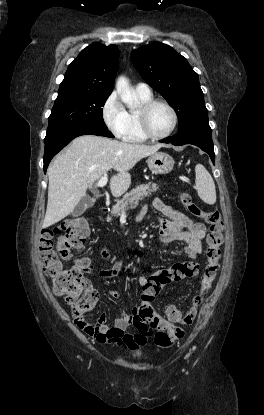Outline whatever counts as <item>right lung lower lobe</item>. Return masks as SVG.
<instances>
[{
	"label": "right lung lower lobe",
	"instance_id": "98d812e1",
	"mask_svg": "<svg viewBox=\"0 0 264 415\" xmlns=\"http://www.w3.org/2000/svg\"><path fill=\"white\" fill-rule=\"evenodd\" d=\"M93 134L98 136H105L113 138L114 136L108 130L107 127H93L85 126L65 132L55 138H52L45 143L44 151V172L46 173L47 167L52 158L63 149L71 140L81 135Z\"/></svg>",
	"mask_w": 264,
	"mask_h": 415
}]
</instances>
